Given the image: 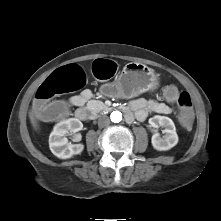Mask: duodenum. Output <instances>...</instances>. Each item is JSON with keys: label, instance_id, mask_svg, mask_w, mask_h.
<instances>
[{"label": "duodenum", "instance_id": "obj_1", "mask_svg": "<svg viewBox=\"0 0 221 221\" xmlns=\"http://www.w3.org/2000/svg\"><path fill=\"white\" fill-rule=\"evenodd\" d=\"M124 113H125V117L127 121H132L133 120V115L132 112L129 108H124L123 109ZM75 116L81 120V121H89L90 120V111L86 108H80L77 109L75 112Z\"/></svg>", "mask_w": 221, "mask_h": 221}]
</instances>
